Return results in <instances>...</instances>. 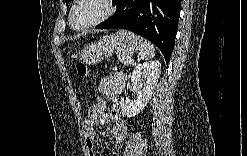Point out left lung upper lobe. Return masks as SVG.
<instances>
[{"instance_id": "1", "label": "left lung upper lobe", "mask_w": 247, "mask_h": 156, "mask_svg": "<svg viewBox=\"0 0 247 156\" xmlns=\"http://www.w3.org/2000/svg\"><path fill=\"white\" fill-rule=\"evenodd\" d=\"M119 1V0H118ZM118 1H116V2H118ZM65 2H66V4H68L69 3V0H65Z\"/></svg>"}]
</instances>
